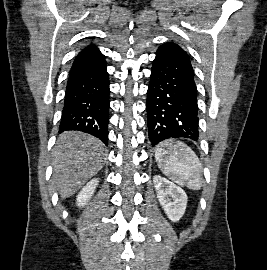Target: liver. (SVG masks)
<instances>
[{
    "mask_svg": "<svg viewBox=\"0 0 267 270\" xmlns=\"http://www.w3.org/2000/svg\"><path fill=\"white\" fill-rule=\"evenodd\" d=\"M105 145L97 138L76 131L59 135L54 150L52 183L62 199L74 195L103 167Z\"/></svg>",
    "mask_w": 267,
    "mask_h": 270,
    "instance_id": "liver-1",
    "label": "liver"
}]
</instances>
